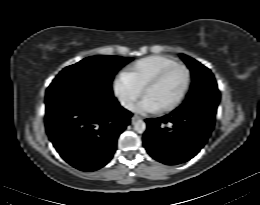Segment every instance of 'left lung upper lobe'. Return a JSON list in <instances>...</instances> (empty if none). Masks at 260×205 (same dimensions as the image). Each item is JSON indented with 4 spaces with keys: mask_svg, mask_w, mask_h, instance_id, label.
<instances>
[{
    "mask_svg": "<svg viewBox=\"0 0 260 205\" xmlns=\"http://www.w3.org/2000/svg\"><path fill=\"white\" fill-rule=\"evenodd\" d=\"M180 57L191 70L193 82L186 100L176 110L200 109L215 115L220 93L213 74L193 58L184 54Z\"/></svg>",
    "mask_w": 260,
    "mask_h": 205,
    "instance_id": "5c2ea615",
    "label": "left lung upper lobe"
}]
</instances>
